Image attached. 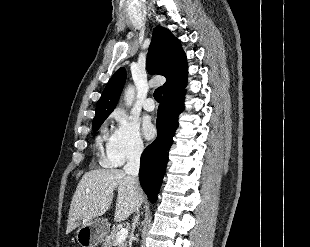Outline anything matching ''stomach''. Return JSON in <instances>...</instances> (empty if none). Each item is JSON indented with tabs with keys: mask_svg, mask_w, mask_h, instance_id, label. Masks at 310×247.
<instances>
[{
	"mask_svg": "<svg viewBox=\"0 0 310 247\" xmlns=\"http://www.w3.org/2000/svg\"><path fill=\"white\" fill-rule=\"evenodd\" d=\"M108 228V223L100 218L82 222L76 232V240L81 247H95Z\"/></svg>",
	"mask_w": 310,
	"mask_h": 247,
	"instance_id": "stomach-1",
	"label": "stomach"
}]
</instances>
